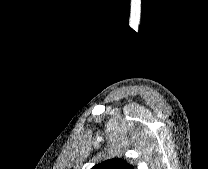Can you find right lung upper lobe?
Returning <instances> with one entry per match:
<instances>
[{"mask_svg": "<svg viewBox=\"0 0 208 169\" xmlns=\"http://www.w3.org/2000/svg\"><path fill=\"white\" fill-rule=\"evenodd\" d=\"M92 169H134V167L123 159L113 158L95 165Z\"/></svg>", "mask_w": 208, "mask_h": 169, "instance_id": "1", "label": "right lung upper lobe"}]
</instances>
